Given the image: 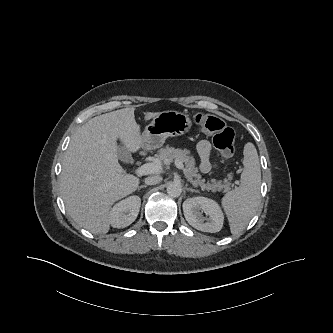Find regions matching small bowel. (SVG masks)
Wrapping results in <instances>:
<instances>
[{"label":"small bowel","instance_id":"obj_1","mask_svg":"<svg viewBox=\"0 0 333 333\" xmlns=\"http://www.w3.org/2000/svg\"><path fill=\"white\" fill-rule=\"evenodd\" d=\"M211 145L207 140H201L197 144V152L200 158V170L202 173H208L213 165L210 161Z\"/></svg>","mask_w":333,"mask_h":333}]
</instances>
